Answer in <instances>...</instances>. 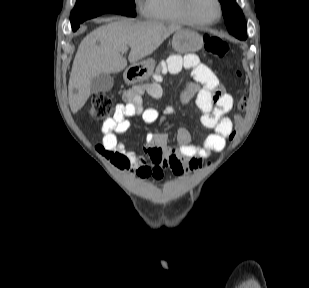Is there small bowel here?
I'll list each match as a JSON object with an SVG mask.
<instances>
[{
	"label": "small bowel",
	"instance_id": "c3829d8e",
	"mask_svg": "<svg viewBox=\"0 0 309 288\" xmlns=\"http://www.w3.org/2000/svg\"><path fill=\"white\" fill-rule=\"evenodd\" d=\"M182 68L190 71L194 83L184 87L180 102L186 104L195 97V104L202 113V124L213 131L202 144H193L191 132L185 127L178 130L176 146L170 144L166 133L148 134L143 156L118 142L117 135L130 128L129 117L139 116L146 124L158 120L159 112L154 108H145L142 99L144 93L154 99L162 96V88L157 82L137 86L126 92L123 101L117 105L114 116L102 124V144L106 153L122 155L124 160L117 163V166L121 170L134 172L142 180L151 178L161 181L167 169L178 178L189 171L198 170L205 158L225 148L226 138L233 131V122L227 114L232 110L234 100L223 89L214 72L200 63L194 54L184 57L173 55L169 58V72L178 73ZM175 110L174 104H171L166 109V114H174Z\"/></svg>",
	"mask_w": 309,
	"mask_h": 288
}]
</instances>
